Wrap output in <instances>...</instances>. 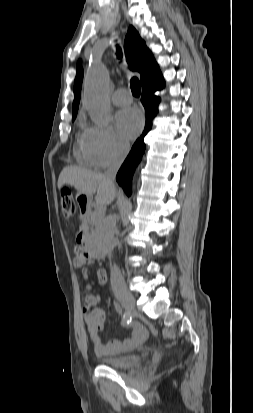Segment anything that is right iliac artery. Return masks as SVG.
Wrapping results in <instances>:
<instances>
[{
	"instance_id": "1",
	"label": "right iliac artery",
	"mask_w": 253,
	"mask_h": 413,
	"mask_svg": "<svg viewBox=\"0 0 253 413\" xmlns=\"http://www.w3.org/2000/svg\"><path fill=\"white\" fill-rule=\"evenodd\" d=\"M123 319L125 323L129 324L132 320V317L129 314H124Z\"/></svg>"
}]
</instances>
